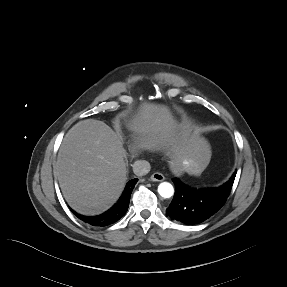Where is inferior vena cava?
<instances>
[{"mask_svg": "<svg viewBox=\"0 0 287 287\" xmlns=\"http://www.w3.org/2000/svg\"><path fill=\"white\" fill-rule=\"evenodd\" d=\"M132 167L134 174L137 176H144L148 174L151 169L150 163L146 160H137Z\"/></svg>", "mask_w": 287, "mask_h": 287, "instance_id": "obj_1", "label": "inferior vena cava"}]
</instances>
